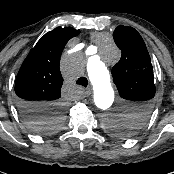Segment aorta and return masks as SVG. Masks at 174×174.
Returning <instances> with one entry per match:
<instances>
[{
	"label": "aorta",
	"mask_w": 174,
	"mask_h": 174,
	"mask_svg": "<svg viewBox=\"0 0 174 174\" xmlns=\"http://www.w3.org/2000/svg\"><path fill=\"white\" fill-rule=\"evenodd\" d=\"M104 58L109 62H116L119 58V49L115 44L107 39L104 46ZM89 78L93 84L94 102L100 110V124L107 130L111 128V123L126 116L125 112H108L114 101V90L110 82L109 73L105 63L99 60L90 59L87 64Z\"/></svg>",
	"instance_id": "1"
}]
</instances>
